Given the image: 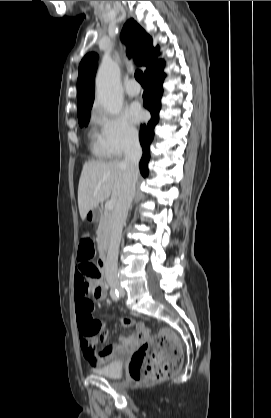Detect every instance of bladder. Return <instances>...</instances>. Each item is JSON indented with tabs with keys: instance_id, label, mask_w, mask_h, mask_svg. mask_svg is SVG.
Returning a JSON list of instances; mask_svg holds the SVG:
<instances>
[{
	"instance_id": "obj_1",
	"label": "bladder",
	"mask_w": 271,
	"mask_h": 418,
	"mask_svg": "<svg viewBox=\"0 0 271 418\" xmlns=\"http://www.w3.org/2000/svg\"><path fill=\"white\" fill-rule=\"evenodd\" d=\"M93 373L109 379H118L123 373V362L112 360L103 366L94 368Z\"/></svg>"
}]
</instances>
